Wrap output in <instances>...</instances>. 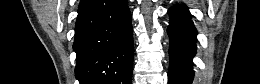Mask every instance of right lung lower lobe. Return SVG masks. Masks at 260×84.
I'll list each match as a JSON object with an SVG mask.
<instances>
[{"instance_id": "obj_1", "label": "right lung lower lobe", "mask_w": 260, "mask_h": 84, "mask_svg": "<svg viewBox=\"0 0 260 84\" xmlns=\"http://www.w3.org/2000/svg\"><path fill=\"white\" fill-rule=\"evenodd\" d=\"M73 48L80 84H131L133 31L127 0H81Z\"/></svg>"}]
</instances>
